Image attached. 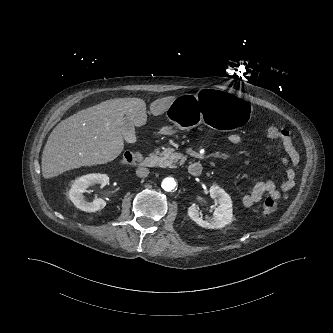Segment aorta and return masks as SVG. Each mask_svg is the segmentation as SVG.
Instances as JSON below:
<instances>
[{"label": "aorta", "instance_id": "1", "mask_svg": "<svg viewBox=\"0 0 333 333\" xmlns=\"http://www.w3.org/2000/svg\"><path fill=\"white\" fill-rule=\"evenodd\" d=\"M176 181L172 177H167L162 181V188L165 191H172L176 187Z\"/></svg>", "mask_w": 333, "mask_h": 333}]
</instances>
